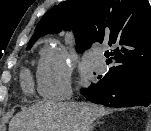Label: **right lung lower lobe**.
Instances as JSON below:
<instances>
[{
    "label": "right lung lower lobe",
    "instance_id": "98d812e1",
    "mask_svg": "<svg viewBox=\"0 0 151 131\" xmlns=\"http://www.w3.org/2000/svg\"><path fill=\"white\" fill-rule=\"evenodd\" d=\"M81 93L87 100L108 107L148 106L151 102V68L134 72L109 71Z\"/></svg>",
    "mask_w": 151,
    "mask_h": 131
}]
</instances>
